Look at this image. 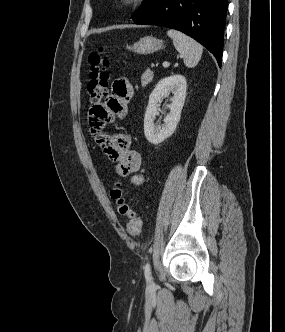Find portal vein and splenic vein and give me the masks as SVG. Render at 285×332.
I'll return each mask as SVG.
<instances>
[{
  "label": "portal vein and splenic vein",
  "mask_w": 285,
  "mask_h": 332,
  "mask_svg": "<svg viewBox=\"0 0 285 332\" xmlns=\"http://www.w3.org/2000/svg\"><path fill=\"white\" fill-rule=\"evenodd\" d=\"M169 65H170V64H169L168 62H163V66H164V67H169Z\"/></svg>",
  "instance_id": "portal-vein-and-splenic-vein-1"
}]
</instances>
